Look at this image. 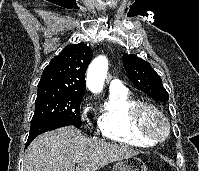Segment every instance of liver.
I'll list each match as a JSON object with an SVG mask.
<instances>
[{
  "label": "liver",
  "mask_w": 199,
  "mask_h": 171,
  "mask_svg": "<svg viewBox=\"0 0 199 171\" xmlns=\"http://www.w3.org/2000/svg\"><path fill=\"white\" fill-rule=\"evenodd\" d=\"M138 154L128 146L90 139L74 126H67L33 140L26 150L24 171H97Z\"/></svg>",
  "instance_id": "1"
}]
</instances>
